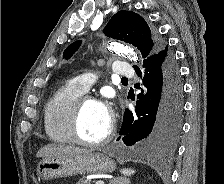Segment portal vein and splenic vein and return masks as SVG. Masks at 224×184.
<instances>
[{"label":"portal vein and splenic vein","instance_id":"portal-vein-and-splenic-vein-1","mask_svg":"<svg viewBox=\"0 0 224 184\" xmlns=\"http://www.w3.org/2000/svg\"><path fill=\"white\" fill-rule=\"evenodd\" d=\"M95 184H104V181H96Z\"/></svg>","mask_w":224,"mask_h":184}]
</instances>
